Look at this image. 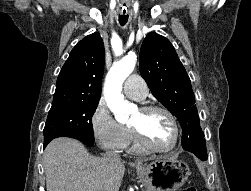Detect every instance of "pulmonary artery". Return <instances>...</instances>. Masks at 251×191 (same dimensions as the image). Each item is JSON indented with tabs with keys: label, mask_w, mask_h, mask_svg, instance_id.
<instances>
[{
	"label": "pulmonary artery",
	"mask_w": 251,
	"mask_h": 191,
	"mask_svg": "<svg viewBox=\"0 0 251 191\" xmlns=\"http://www.w3.org/2000/svg\"><path fill=\"white\" fill-rule=\"evenodd\" d=\"M123 91L126 96L132 99L143 100L148 94V87L140 75L132 74L126 77Z\"/></svg>",
	"instance_id": "1"
}]
</instances>
